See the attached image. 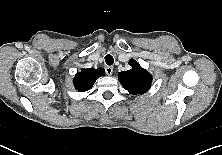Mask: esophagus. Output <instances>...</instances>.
<instances>
[{"label":"esophagus","mask_w":222,"mask_h":155,"mask_svg":"<svg viewBox=\"0 0 222 155\" xmlns=\"http://www.w3.org/2000/svg\"><path fill=\"white\" fill-rule=\"evenodd\" d=\"M105 71H106V74L110 76L113 73V67L112 66H106Z\"/></svg>","instance_id":"1"}]
</instances>
